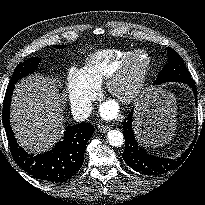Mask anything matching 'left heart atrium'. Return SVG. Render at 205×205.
<instances>
[{
    "label": "left heart atrium",
    "mask_w": 205,
    "mask_h": 205,
    "mask_svg": "<svg viewBox=\"0 0 205 205\" xmlns=\"http://www.w3.org/2000/svg\"><path fill=\"white\" fill-rule=\"evenodd\" d=\"M101 114L106 118H114L117 114V106L113 102L106 103L102 106Z\"/></svg>",
    "instance_id": "obj_1"
}]
</instances>
